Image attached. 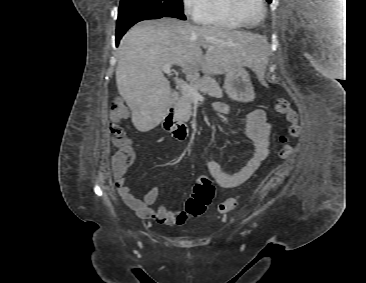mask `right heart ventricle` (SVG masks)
<instances>
[{
  "mask_svg": "<svg viewBox=\"0 0 366 283\" xmlns=\"http://www.w3.org/2000/svg\"><path fill=\"white\" fill-rule=\"evenodd\" d=\"M197 21L202 25L223 30H236L242 27L232 16L228 0H207L205 10Z\"/></svg>",
  "mask_w": 366,
  "mask_h": 283,
  "instance_id": "1",
  "label": "right heart ventricle"
}]
</instances>
